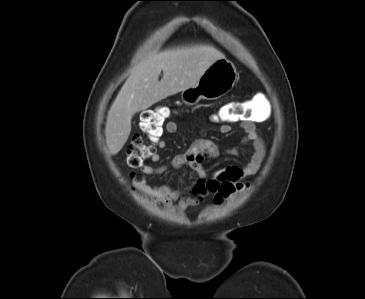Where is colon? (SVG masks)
Returning <instances> with one entry per match:
<instances>
[{
  "label": "colon",
  "mask_w": 365,
  "mask_h": 299,
  "mask_svg": "<svg viewBox=\"0 0 365 299\" xmlns=\"http://www.w3.org/2000/svg\"><path fill=\"white\" fill-rule=\"evenodd\" d=\"M172 114L173 112L171 109L166 106L145 110L141 115L140 128L152 140H155L162 135L163 125ZM257 116V113L252 109L251 102L242 101L223 106L221 110L213 116V120L220 124H228L234 121L252 120ZM154 152L155 148L152 145L144 143L140 136H136L132 139L126 149V161L129 166L136 168L150 159ZM245 186L244 183L239 182L228 181L214 183L209 181L201 187L195 188L193 195L198 202L207 192H212L214 193L215 202L220 204L230 196L241 192Z\"/></svg>",
  "instance_id": "colon-1"
}]
</instances>
